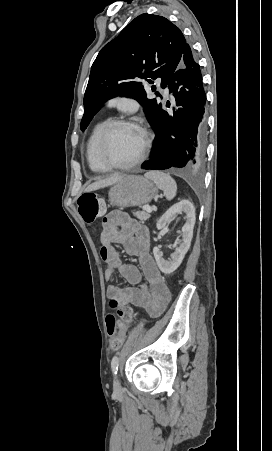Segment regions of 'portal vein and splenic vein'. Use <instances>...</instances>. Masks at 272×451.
<instances>
[{
	"instance_id": "18ae733b",
	"label": "portal vein and splenic vein",
	"mask_w": 272,
	"mask_h": 451,
	"mask_svg": "<svg viewBox=\"0 0 272 451\" xmlns=\"http://www.w3.org/2000/svg\"><path fill=\"white\" fill-rule=\"evenodd\" d=\"M143 210H145V212H148V214H151L152 212V208H150V206H143Z\"/></svg>"
}]
</instances>
